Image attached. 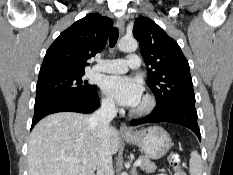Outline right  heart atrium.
Returning <instances> with one entry per match:
<instances>
[{
	"mask_svg": "<svg viewBox=\"0 0 233 175\" xmlns=\"http://www.w3.org/2000/svg\"><path fill=\"white\" fill-rule=\"evenodd\" d=\"M101 105L105 110L114 111L115 102L110 96H103L101 99Z\"/></svg>",
	"mask_w": 233,
	"mask_h": 175,
	"instance_id": "1",
	"label": "right heart atrium"
}]
</instances>
